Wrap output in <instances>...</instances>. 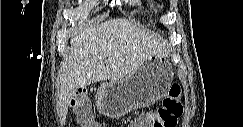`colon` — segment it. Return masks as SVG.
Masks as SVG:
<instances>
[{
  "instance_id": "colon-1",
  "label": "colon",
  "mask_w": 243,
  "mask_h": 127,
  "mask_svg": "<svg viewBox=\"0 0 243 127\" xmlns=\"http://www.w3.org/2000/svg\"><path fill=\"white\" fill-rule=\"evenodd\" d=\"M71 109L78 124L82 127H100L94 118L93 111L86 94H79L71 100ZM183 111L182 90L180 85L173 84L168 96L159 107L140 116L131 127H175Z\"/></svg>"
}]
</instances>
